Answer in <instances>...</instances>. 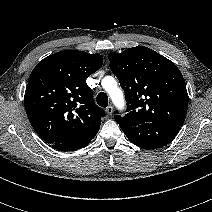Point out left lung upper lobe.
I'll list each match as a JSON object with an SVG mask.
<instances>
[{
    "instance_id": "obj_1",
    "label": "left lung upper lobe",
    "mask_w": 212,
    "mask_h": 212,
    "mask_svg": "<svg viewBox=\"0 0 212 212\" xmlns=\"http://www.w3.org/2000/svg\"><path fill=\"white\" fill-rule=\"evenodd\" d=\"M127 100L125 116L115 112L121 129L141 123L182 125L187 108L186 84L178 67L154 50L137 46L108 55Z\"/></svg>"
}]
</instances>
